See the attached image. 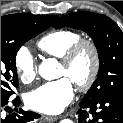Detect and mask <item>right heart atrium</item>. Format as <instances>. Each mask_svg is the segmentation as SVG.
Here are the masks:
<instances>
[{"label": "right heart atrium", "mask_w": 123, "mask_h": 123, "mask_svg": "<svg viewBox=\"0 0 123 123\" xmlns=\"http://www.w3.org/2000/svg\"><path fill=\"white\" fill-rule=\"evenodd\" d=\"M14 67L21 82L27 84L35 79L36 61L27 47L23 46L16 51Z\"/></svg>", "instance_id": "obj_1"}]
</instances>
